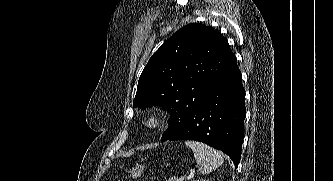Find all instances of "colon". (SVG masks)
<instances>
[{
    "mask_svg": "<svg viewBox=\"0 0 333 181\" xmlns=\"http://www.w3.org/2000/svg\"><path fill=\"white\" fill-rule=\"evenodd\" d=\"M144 169H145L144 165H137V166L133 167L129 171V180L134 181L136 178H138L143 173ZM125 181H127V180H125Z\"/></svg>",
    "mask_w": 333,
    "mask_h": 181,
    "instance_id": "obj_1",
    "label": "colon"
}]
</instances>
